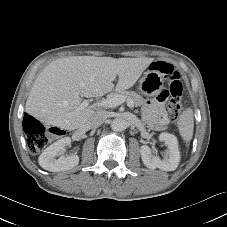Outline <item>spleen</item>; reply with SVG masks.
<instances>
[{"instance_id": "spleen-1", "label": "spleen", "mask_w": 227, "mask_h": 227, "mask_svg": "<svg viewBox=\"0 0 227 227\" xmlns=\"http://www.w3.org/2000/svg\"><path fill=\"white\" fill-rule=\"evenodd\" d=\"M177 125L182 139L189 142L192 139L194 130V117L193 110L191 108H187L181 113L178 118Z\"/></svg>"}]
</instances>
